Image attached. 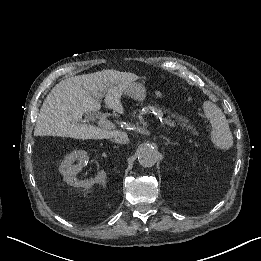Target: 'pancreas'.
Returning a JSON list of instances; mask_svg holds the SVG:
<instances>
[{"label":"pancreas","instance_id":"1","mask_svg":"<svg viewBox=\"0 0 261 261\" xmlns=\"http://www.w3.org/2000/svg\"><path fill=\"white\" fill-rule=\"evenodd\" d=\"M147 110H154L155 112L160 111L161 113H165V115L174 119L176 122L183 123L184 128L190 131V136H194V140H199V133H197L194 123L187 116L179 114L176 110H173L169 106H165L162 102H156L155 104L145 103L139 105L138 107H134L129 113V119L134 121L136 116L140 115V113L147 112Z\"/></svg>","mask_w":261,"mask_h":261}]
</instances>
